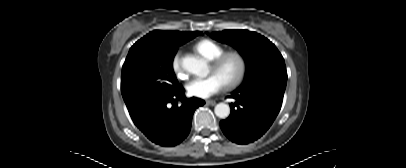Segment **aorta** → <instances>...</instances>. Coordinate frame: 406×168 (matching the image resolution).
I'll return each instance as SVG.
<instances>
[{
  "label": "aorta",
  "mask_w": 406,
  "mask_h": 168,
  "mask_svg": "<svg viewBox=\"0 0 406 168\" xmlns=\"http://www.w3.org/2000/svg\"><path fill=\"white\" fill-rule=\"evenodd\" d=\"M182 67L199 77H206L209 73L207 63L202 58H197L194 56H185L182 59ZM214 112L217 117L225 119L230 114V107L225 103H219L215 106Z\"/></svg>",
  "instance_id": "1"
}]
</instances>
